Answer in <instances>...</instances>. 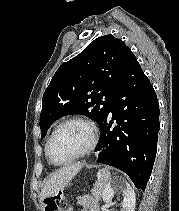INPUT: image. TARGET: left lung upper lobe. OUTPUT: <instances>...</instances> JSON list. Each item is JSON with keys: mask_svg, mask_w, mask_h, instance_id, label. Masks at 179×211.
<instances>
[{"mask_svg": "<svg viewBox=\"0 0 179 211\" xmlns=\"http://www.w3.org/2000/svg\"><path fill=\"white\" fill-rule=\"evenodd\" d=\"M133 56L122 40L105 35L62 64L43 95L42 137L56 119L68 114H85L101 127Z\"/></svg>", "mask_w": 179, "mask_h": 211, "instance_id": "left-lung-upper-lobe-1", "label": "left lung upper lobe"}]
</instances>
